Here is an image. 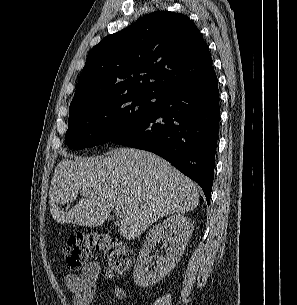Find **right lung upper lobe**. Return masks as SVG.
<instances>
[{
	"instance_id": "1",
	"label": "right lung upper lobe",
	"mask_w": 297,
	"mask_h": 305,
	"mask_svg": "<svg viewBox=\"0 0 297 305\" xmlns=\"http://www.w3.org/2000/svg\"><path fill=\"white\" fill-rule=\"evenodd\" d=\"M213 71L208 46L194 23L184 14L158 11L93 47L69 110L126 92L159 94Z\"/></svg>"
}]
</instances>
